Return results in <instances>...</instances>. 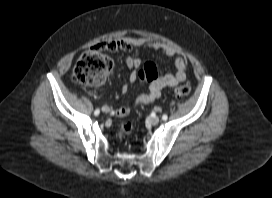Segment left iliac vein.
<instances>
[{
    "mask_svg": "<svg viewBox=\"0 0 272 198\" xmlns=\"http://www.w3.org/2000/svg\"><path fill=\"white\" fill-rule=\"evenodd\" d=\"M149 121H150L151 124L156 125V124L159 123L160 119L157 116H152V117L149 118Z\"/></svg>",
    "mask_w": 272,
    "mask_h": 198,
    "instance_id": "4c4485c4",
    "label": "left iliac vein"
}]
</instances>
